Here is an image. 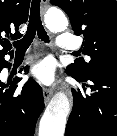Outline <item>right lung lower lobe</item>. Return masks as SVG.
Wrapping results in <instances>:
<instances>
[{"label": "right lung lower lobe", "instance_id": "1", "mask_svg": "<svg viewBox=\"0 0 117 136\" xmlns=\"http://www.w3.org/2000/svg\"><path fill=\"white\" fill-rule=\"evenodd\" d=\"M5 67H10V64L1 58L0 71ZM28 68H24L25 72ZM20 80L15 77L7 84L0 81V136H33L37 119L44 109L39 84L30 78L22 88L17 89L14 85Z\"/></svg>", "mask_w": 117, "mask_h": 136}]
</instances>
